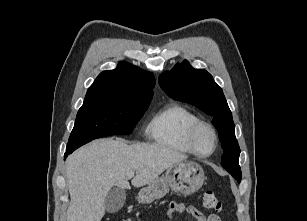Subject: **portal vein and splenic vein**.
Returning a JSON list of instances; mask_svg holds the SVG:
<instances>
[{
    "instance_id": "obj_1",
    "label": "portal vein and splenic vein",
    "mask_w": 307,
    "mask_h": 221,
    "mask_svg": "<svg viewBox=\"0 0 307 221\" xmlns=\"http://www.w3.org/2000/svg\"><path fill=\"white\" fill-rule=\"evenodd\" d=\"M127 177L130 179V178H133L134 177V172H130L128 173Z\"/></svg>"
}]
</instances>
